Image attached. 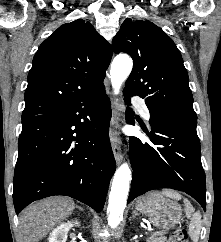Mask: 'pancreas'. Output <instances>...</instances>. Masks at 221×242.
I'll list each match as a JSON object with an SVG mask.
<instances>
[{"mask_svg": "<svg viewBox=\"0 0 221 242\" xmlns=\"http://www.w3.org/2000/svg\"><path fill=\"white\" fill-rule=\"evenodd\" d=\"M148 242H164V238L152 236L148 239Z\"/></svg>", "mask_w": 221, "mask_h": 242, "instance_id": "1", "label": "pancreas"}]
</instances>
